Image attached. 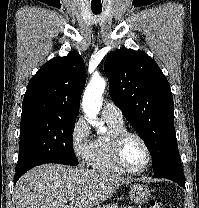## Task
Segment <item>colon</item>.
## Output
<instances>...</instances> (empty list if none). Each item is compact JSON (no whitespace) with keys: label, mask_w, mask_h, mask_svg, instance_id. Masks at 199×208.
I'll return each instance as SVG.
<instances>
[{"label":"colon","mask_w":199,"mask_h":208,"mask_svg":"<svg viewBox=\"0 0 199 208\" xmlns=\"http://www.w3.org/2000/svg\"><path fill=\"white\" fill-rule=\"evenodd\" d=\"M148 208H163V205L161 202H159L155 199H151L149 201Z\"/></svg>","instance_id":"colon-1"}]
</instances>
